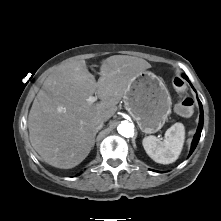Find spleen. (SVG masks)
Masks as SVG:
<instances>
[{"mask_svg":"<svg viewBox=\"0 0 221 221\" xmlns=\"http://www.w3.org/2000/svg\"><path fill=\"white\" fill-rule=\"evenodd\" d=\"M184 140V125L177 122L167 129L163 141L150 135L143 139L142 144L148 156L155 162L171 164L178 159Z\"/></svg>","mask_w":221,"mask_h":221,"instance_id":"obj_1","label":"spleen"}]
</instances>
